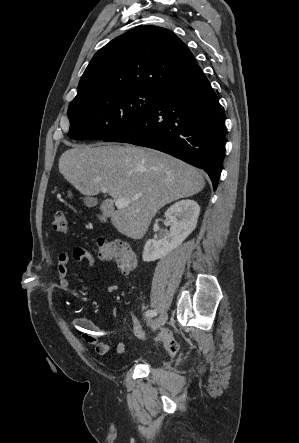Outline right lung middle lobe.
I'll use <instances>...</instances> for the list:
<instances>
[{
  "instance_id": "1",
  "label": "right lung middle lobe",
  "mask_w": 299,
  "mask_h": 443,
  "mask_svg": "<svg viewBox=\"0 0 299 443\" xmlns=\"http://www.w3.org/2000/svg\"><path fill=\"white\" fill-rule=\"evenodd\" d=\"M158 91L127 89L104 92L68 108L72 139H105L146 114L157 103Z\"/></svg>"
}]
</instances>
